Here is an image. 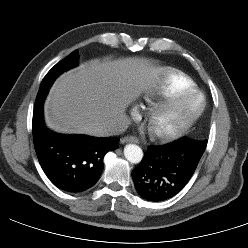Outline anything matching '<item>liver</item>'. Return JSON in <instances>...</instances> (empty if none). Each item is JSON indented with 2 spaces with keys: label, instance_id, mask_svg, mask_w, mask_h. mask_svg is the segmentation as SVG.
<instances>
[{
  "label": "liver",
  "instance_id": "6515ba94",
  "mask_svg": "<svg viewBox=\"0 0 248 248\" xmlns=\"http://www.w3.org/2000/svg\"><path fill=\"white\" fill-rule=\"evenodd\" d=\"M157 79L146 60H90L61 75L45 104L47 125L62 133L106 136L126 107Z\"/></svg>",
  "mask_w": 248,
  "mask_h": 248
}]
</instances>
